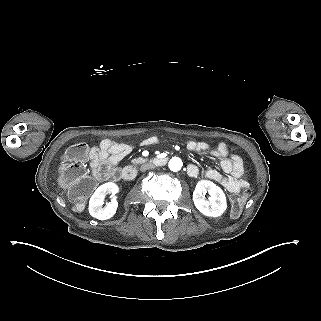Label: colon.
<instances>
[{
	"label": "colon",
	"instance_id": "1",
	"mask_svg": "<svg viewBox=\"0 0 321 321\" xmlns=\"http://www.w3.org/2000/svg\"><path fill=\"white\" fill-rule=\"evenodd\" d=\"M90 148L86 143H75L64 154L61 167V182L67 187L76 209H82L85 200L94 188L93 180L88 176L84 162L88 159ZM250 189L243 187L239 194L231 199V214H241Z\"/></svg>",
	"mask_w": 321,
	"mask_h": 321
}]
</instances>
